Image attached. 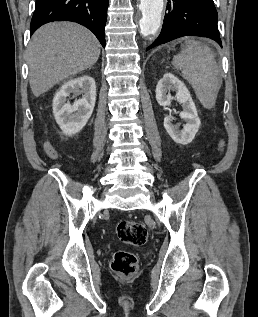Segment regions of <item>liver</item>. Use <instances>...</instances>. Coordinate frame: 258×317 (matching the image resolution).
Masks as SVG:
<instances>
[{"label": "liver", "instance_id": "obj_1", "mask_svg": "<svg viewBox=\"0 0 258 317\" xmlns=\"http://www.w3.org/2000/svg\"><path fill=\"white\" fill-rule=\"evenodd\" d=\"M27 50L31 90L40 96L60 80L92 66L100 44L81 24L48 22L32 34Z\"/></svg>", "mask_w": 258, "mask_h": 317}]
</instances>
